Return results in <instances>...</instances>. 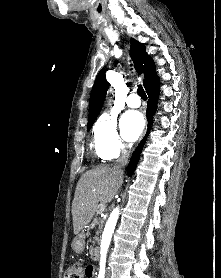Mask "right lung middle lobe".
Listing matches in <instances>:
<instances>
[{
	"label": "right lung middle lobe",
	"instance_id": "right-lung-middle-lobe-1",
	"mask_svg": "<svg viewBox=\"0 0 221 278\" xmlns=\"http://www.w3.org/2000/svg\"><path fill=\"white\" fill-rule=\"evenodd\" d=\"M92 125H93V124H89V125L87 126V127H88V129H89V128H91V127H92Z\"/></svg>",
	"mask_w": 221,
	"mask_h": 278
}]
</instances>
